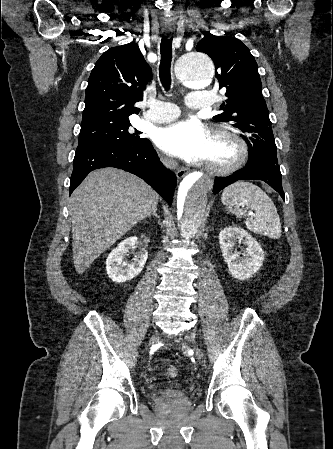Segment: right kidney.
<instances>
[{"mask_svg": "<svg viewBox=\"0 0 333 449\" xmlns=\"http://www.w3.org/2000/svg\"><path fill=\"white\" fill-rule=\"evenodd\" d=\"M138 247L139 250L132 262H127L125 255L131 248ZM148 258V252L137 237H130L122 241L117 248L113 249L106 259V271L109 278L115 283H123L135 278L142 271Z\"/></svg>", "mask_w": 333, "mask_h": 449, "instance_id": "obj_1", "label": "right kidney"}]
</instances>
